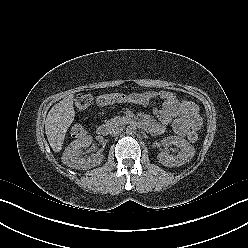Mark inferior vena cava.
Masks as SVG:
<instances>
[{"instance_id":"1","label":"inferior vena cava","mask_w":248,"mask_h":248,"mask_svg":"<svg viewBox=\"0 0 248 248\" xmlns=\"http://www.w3.org/2000/svg\"><path fill=\"white\" fill-rule=\"evenodd\" d=\"M122 131H123V128L122 127H116V128H113L111 130L110 134L112 136H118V135H120L122 133Z\"/></svg>"}]
</instances>
